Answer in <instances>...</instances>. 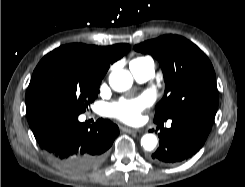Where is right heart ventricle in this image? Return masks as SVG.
<instances>
[{"mask_svg":"<svg viewBox=\"0 0 245 187\" xmlns=\"http://www.w3.org/2000/svg\"><path fill=\"white\" fill-rule=\"evenodd\" d=\"M148 59V57H137L135 59H133L131 62H130V65L131 64H137V63H141L142 61Z\"/></svg>","mask_w":245,"mask_h":187,"instance_id":"right-heart-ventricle-1","label":"right heart ventricle"}]
</instances>
